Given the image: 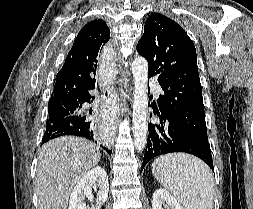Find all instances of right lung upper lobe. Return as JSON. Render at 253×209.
I'll use <instances>...</instances> for the list:
<instances>
[{
    "label": "right lung upper lobe",
    "instance_id": "right-lung-upper-lobe-1",
    "mask_svg": "<svg viewBox=\"0 0 253 209\" xmlns=\"http://www.w3.org/2000/svg\"><path fill=\"white\" fill-rule=\"evenodd\" d=\"M109 38L110 29L101 19L87 23L80 30L56 76L49 102H68L95 88L97 59Z\"/></svg>",
    "mask_w": 253,
    "mask_h": 209
}]
</instances>
